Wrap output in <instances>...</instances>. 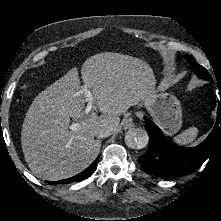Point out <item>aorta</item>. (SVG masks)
Returning <instances> with one entry per match:
<instances>
[{
	"mask_svg": "<svg viewBox=\"0 0 221 221\" xmlns=\"http://www.w3.org/2000/svg\"><path fill=\"white\" fill-rule=\"evenodd\" d=\"M148 142V133L142 128L129 129L125 134V143L132 149H142Z\"/></svg>",
	"mask_w": 221,
	"mask_h": 221,
	"instance_id": "1",
	"label": "aorta"
}]
</instances>
